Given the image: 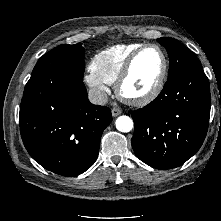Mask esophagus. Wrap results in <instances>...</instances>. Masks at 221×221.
Here are the masks:
<instances>
[{
    "mask_svg": "<svg viewBox=\"0 0 221 221\" xmlns=\"http://www.w3.org/2000/svg\"><path fill=\"white\" fill-rule=\"evenodd\" d=\"M122 113L121 109L119 108H113L112 109V115L113 117H117L118 115H120Z\"/></svg>",
    "mask_w": 221,
    "mask_h": 221,
    "instance_id": "obj_1",
    "label": "esophagus"
}]
</instances>
